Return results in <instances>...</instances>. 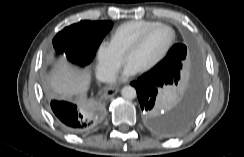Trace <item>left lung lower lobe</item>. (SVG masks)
Here are the masks:
<instances>
[{"mask_svg":"<svg viewBox=\"0 0 244 157\" xmlns=\"http://www.w3.org/2000/svg\"><path fill=\"white\" fill-rule=\"evenodd\" d=\"M131 85L136 88L145 125L159 136L174 137L184 133L200 111L204 82L199 72L173 105L163 102L164 93L173 82L159 72L150 70Z\"/></svg>","mask_w":244,"mask_h":157,"instance_id":"1","label":"left lung lower lobe"}]
</instances>
